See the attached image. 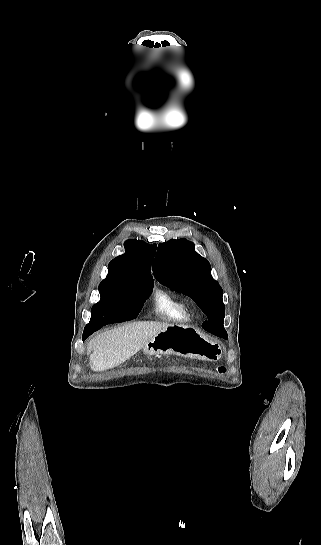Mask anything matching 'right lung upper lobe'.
Here are the masks:
<instances>
[{
	"instance_id": "cb5924a9",
	"label": "right lung upper lobe",
	"mask_w": 321,
	"mask_h": 545,
	"mask_svg": "<svg viewBox=\"0 0 321 545\" xmlns=\"http://www.w3.org/2000/svg\"><path fill=\"white\" fill-rule=\"evenodd\" d=\"M124 247L125 253L110 262L108 275L102 282L129 289L153 287L150 265L156 245H148L139 240H127Z\"/></svg>"
}]
</instances>
